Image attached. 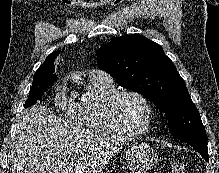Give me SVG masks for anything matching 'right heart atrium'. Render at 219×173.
Here are the masks:
<instances>
[{
    "label": "right heart atrium",
    "instance_id": "1",
    "mask_svg": "<svg viewBox=\"0 0 219 173\" xmlns=\"http://www.w3.org/2000/svg\"><path fill=\"white\" fill-rule=\"evenodd\" d=\"M55 104L65 111L66 113H72V102L69 98L67 87L64 83L57 86L54 95Z\"/></svg>",
    "mask_w": 219,
    "mask_h": 173
}]
</instances>
